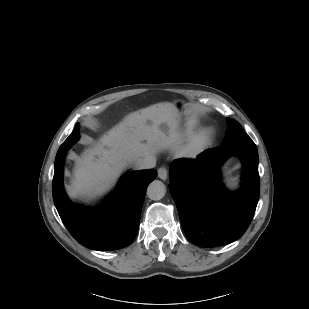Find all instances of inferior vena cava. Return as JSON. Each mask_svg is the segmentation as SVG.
I'll return each mask as SVG.
<instances>
[{"label": "inferior vena cava", "mask_w": 309, "mask_h": 309, "mask_svg": "<svg viewBox=\"0 0 309 309\" xmlns=\"http://www.w3.org/2000/svg\"><path fill=\"white\" fill-rule=\"evenodd\" d=\"M156 165V159L154 157H147L144 159H138L134 162L136 169H150Z\"/></svg>", "instance_id": "inferior-vena-cava-1"}]
</instances>
